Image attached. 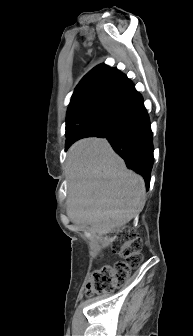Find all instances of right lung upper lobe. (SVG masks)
Listing matches in <instances>:
<instances>
[{
  "mask_svg": "<svg viewBox=\"0 0 193 336\" xmlns=\"http://www.w3.org/2000/svg\"><path fill=\"white\" fill-rule=\"evenodd\" d=\"M132 82L116 68L97 65L77 85L66 118V144L83 138L82 133L72 134L71 127L79 121L92 119L100 112L113 109Z\"/></svg>",
  "mask_w": 193,
  "mask_h": 336,
  "instance_id": "cb5924a9",
  "label": "right lung upper lobe"
}]
</instances>
